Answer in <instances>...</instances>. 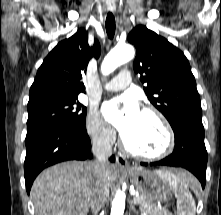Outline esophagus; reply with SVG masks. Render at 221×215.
<instances>
[{
	"mask_svg": "<svg viewBox=\"0 0 221 215\" xmlns=\"http://www.w3.org/2000/svg\"><path fill=\"white\" fill-rule=\"evenodd\" d=\"M107 8L111 12H115V9H116L115 4L111 3V2L108 3ZM116 162H117L118 166H120L121 168H129V163H128L127 159L121 154H117Z\"/></svg>",
	"mask_w": 221,
	"mask_h": 215,
	"instance_id": "1",
	"label": "esophagus"
}]
</instances>
